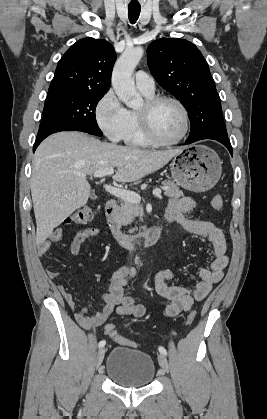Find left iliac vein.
Wrapping results in <instances>:
<instances>
[{"label":"left iliac vein","instance_id":"obj_1","mask_svg":"<svg viewBox=\"0 0 267 419\" xmlns=\"http://www.w3.org/2000/svg\"><path fill=\"white\" fill-rule=\"evenodd\" d=\"M158 361H159V364H160V366H161V368L166 372V373H168L169 372V363H168V360H167V358L165 357V355H163V354H159L158 355Z\"/></svg>","mask_w":267,"mask_h":419}]
</instances>
